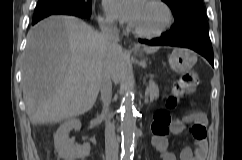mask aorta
Masks as SVG:
<instances>
[{"label":"aorta","mask_w":242,"mask_h":160,"mask_svg":"<svg viewBox=\"0 0 242 160\" xmlns=\"http://www.w3.org/2000/svg\"><path fill=\"white\" fill-rule=\"evenodd\" d=\"M134 77L125 80V94L121 105V160H132L134 155V137L136 129V109L134 105Z\"/></svg>","instance_id":"obj_1"}]
</instances>
